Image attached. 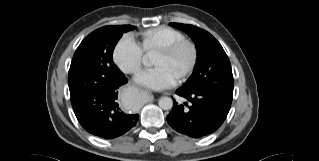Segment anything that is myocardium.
<instances>
[{"label":"myocardium","mask_w":319,"mask_h":161,"mask_svg":"<svg viewBox=\"0 0 319 161\" xmlns=\"http://www.w3.org/2000/svg\"><path fill=\"white\" fill-rule=\"evenodd\" d=\"M184 47L190 50V60L187 66L185 67V69L176 78L177 81H182L185 78H187L196 67L199 53H198L197 45L195 44V42H193L190 39L183 38L163 46L161 49H159L156 52L157 55L167 58L174 55L177 51H179L181 48H184Z\"/></svg>","instance_id":"myocardium-1"}]
</instances>
